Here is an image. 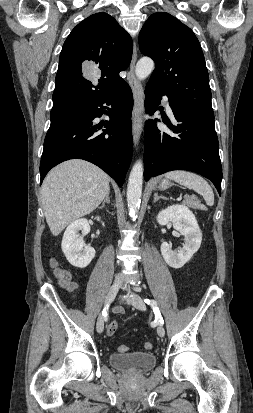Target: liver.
Segmentation results:
<instances>
[{"mask_svg": "<svg viewBox=\"0 0 253 413\" xmlns=\"http://www.w3.org/2000/svg\"><path fill=\"white\" fill-rule=\"evenodd\" d=\"M109 191L108 175L90 162L73 159L53 168L41 187L51 233L58 236L67 225L93 212Z\"/></svg>", "mask_w": 253, "mask_h": 413, "instance_id": "6515ba94", "label": "liver"}]
</instances>
